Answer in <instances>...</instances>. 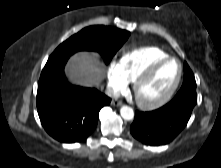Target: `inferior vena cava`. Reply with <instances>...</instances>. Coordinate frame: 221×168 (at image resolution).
Wrapping results in <instances>:
<instances>
[{
  "mask_svg": "<svg viewBox=\"0 0 221 168\" xmlns=\"http://www.w3.org/2000/svg\"><path fill=\"white\" fill-rule=\"evenodd\" d=\"M105 94L112 98H118L120 96V93L112 87H107L105 90Z\"/></svg>",
  "mask_w": 221,
  "mask_h": 168,
  "instance_id": "obj_1",
  "label": "inferior vena cava"
}]
</instances>
